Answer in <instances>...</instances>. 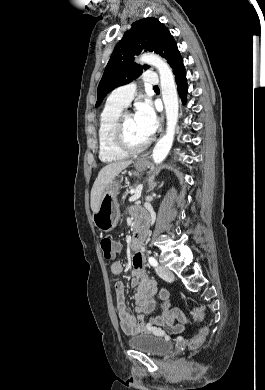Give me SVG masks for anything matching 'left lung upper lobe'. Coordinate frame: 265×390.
I'll return each mask as SVG.
<instances>
[{
	"label": "left lung upper lobe",
	"instance_id": "1",
	"mask_svg": "<svg viewBox=\"0 0 265 390\" xmlns=\"http://www.w3.org/2000/svg\"><path fill=\"white\" fill-rule=\"evenodd\" d=\"M142 51H154L167 59L171 66L179 53L168 28L155 18L140 19L132 24L116 45L104 70L97 90L98 107L103 98L116 87L137 78L149 66L134 63V56Z\"/></svg>",
	"mask_w": 265,
	"mask_h": 390
}]
</instances>
